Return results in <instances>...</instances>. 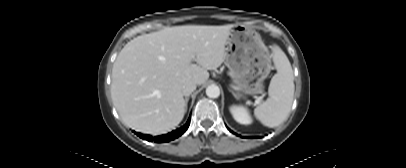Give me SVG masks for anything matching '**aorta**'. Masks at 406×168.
I'll return each mask as SVG.
<instances>
[{
    "label": "aorta",
    "mask_w": 406,
    "mask_h": 168,
    "mask_svg": "<svg viewBox=\"0 0 406 168\" xmlns=\"http://www.w3.org/2000/svg\"><path fill=\"white\" fill-rule=\"evenodd\" d=\"M206 95L209 98H218L220 95V89L216 85H210L206 88Z\"/></svg>",
    "instance_id": "obj_1"
}]
</instances>
